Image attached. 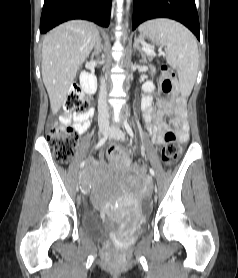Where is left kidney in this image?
Here are the masks:
<instances>
[{
  "label": "left kidney",
  "mask_w": 238,
  "mask_h": 278,
  "mask_svg": "<svg viewBox=\"0 0 238 278\" xmlns=\"http://www.w3.org/2000/svg\"><path fill=\"white\" fill-rule=\"evenodd\" d=\"M155 86L151 81H147L142 85V90L147 93L154 91Z\"/></svg>",
  "instance_id": "left-kidney-1"
}]
</instances>
